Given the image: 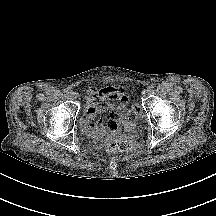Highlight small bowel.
<instances>
[{"mask_svg":"<svg viewBox=\"0 0 216 216\" xmlns=\"http://www.w3.org/2000/svg\"><path fill=\"white\" fill-rule=\"evenodd\" d=\"M84 115L81 119L83 131L96 138H103L118 126V120L126 116L128 112V96L124 88L105 86L90 88L87 90ZM109 112L107 129L102 120L94 122L95 118L102 113Z\"/></svg>","mask_w":216,"mask_h":216,"instance_id":"c3829d8e","label":"small bowel"}]
</instances>
